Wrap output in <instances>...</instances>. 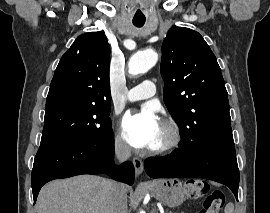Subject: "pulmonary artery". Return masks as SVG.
I'll return each instance as SVG.
<instances>
[{"mask_svg": "<svg viewBox=\"0 0 270 213\" xmlns=\"http://www.w3.org/2000/svg\"><path fill=\"white\" fill-rule=\"evenodd\" d=\"M156 92V84L151 80H145L140 85L132 88L127 93L128 101H138L151 98Z\"/></svg>", "mask_w": 270, "mask_h": 213, "instance_id": "e3ab8cb5", "label": "pulmonary artery"}]
</instances>
